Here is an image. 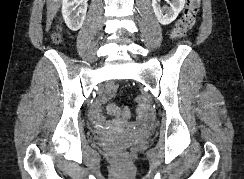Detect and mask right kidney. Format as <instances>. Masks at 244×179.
<instances>
[{"label":"right kidney","instance_id":"right-kidney-1","mask_svg":"<svg viewBox=\"0 0 244 179\" xmlns=\"http://www.w3.org/2000/svg\"><path fill=\"white\" fill-rule=\"evenodd\" d=\"M88 0H63V20L72 32H77L83 26L85 20Z\"/></svg>","mask_w":244,"mask_h":179}]
</instances>
